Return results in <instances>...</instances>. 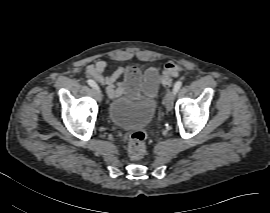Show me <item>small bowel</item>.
<instances>
[{"instance_id":"1","label":"small bowel","mask_w":270,"mask_h":213,"mask_svg":"<svg viewBox=\"0 0 270 213\" xmlns=\"http://www.w3.org/2000/svg\"><path fill=\"white\" fill-rule=\"evenodd\" d=\"M106 68L105 60H97L86 67V74L105 86L107 92L113 96H134L141 90L148 96H153L157 91L158 71L155 67H149L144 72L136 66L119 67L109 75L105 74Z\"/></svg>"}]
</instances>
